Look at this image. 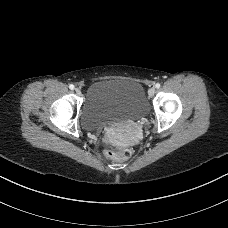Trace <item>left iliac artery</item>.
<instances>
[{"label":"left iliac artery","mask_w":228,"mask_h":228,"mask_svg":"<svg viewBox=\"0 0 228 228\" xmlns=\"http://www.w3.org/2000/svg\"><path fill=\"white\" fill-rule=\"evenodd\" d=\"M155 87L158 89V88H160V84L159 83H156L155 84Z\"/></svg>","instance_id":"1"}]
</instances>
